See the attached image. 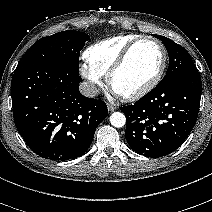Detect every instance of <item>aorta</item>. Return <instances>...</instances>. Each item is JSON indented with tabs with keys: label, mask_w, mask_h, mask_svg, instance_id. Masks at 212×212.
Instances as JSON below:
<instances>
[{
	"label": "aorta",
	"mask_w": 212,
	"mask_h": 212,
	"mask_svg": "<svg viewBox=\"0 0 212 212\" xmlns=\"http://www.w3.org/2000/svg\"><path fill=\"white\" fill-rule=\"evenodd\" d=\"M110 123L112 126L116 128H121L125 125L126 123V117L123 113L121 112H114L110 115Z\"/></svg>",
	"instance_id": "aorta-1"
}]
</instances>
